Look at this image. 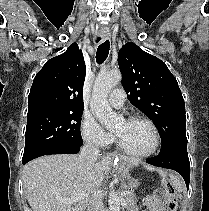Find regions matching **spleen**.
<instances>
[{
    "mask_svg": "<svg viewBox=\"0 0 209 211\" xmlns=\"http://www.w3.org/2000/svg\"><path fill=\"white\" fill-rule=\"evenodd\" d=\"M170 181L175 189L180 193L183 190V185L181 184L179 178L175 177L173 174H169ZM179 198L182 199V195H179Z\"/></svg>",
    "mask_w": 209,
    "mask_h": 211,
    "instance_id": "spleen-1",
    "label": "spleen"
}]
</instances>
